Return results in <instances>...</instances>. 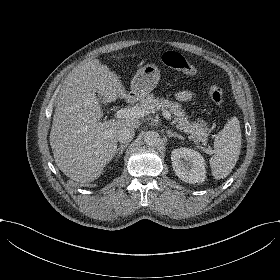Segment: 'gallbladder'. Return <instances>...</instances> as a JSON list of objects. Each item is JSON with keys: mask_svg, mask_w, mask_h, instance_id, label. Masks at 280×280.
Returning <instances> with one entry per match:
<instances>
[{"mask_svg": "<svg viewBox=\"0 0 280 280\" xmlns=\"http://www.w3.org/2000/svg\"><path fill=\"white\" fill-rule=\"evenodd\" d=\"M97 98H98V101H99L100 104H104L101 96H97Z\"/></svg>", "mask_w": 280, "mask_h": 280, "instance_id": "1", "label": "gallbladder"}]
</instances>
